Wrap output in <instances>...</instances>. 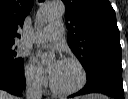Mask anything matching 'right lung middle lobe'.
Listing matches in <instances>:
<instances>
[{"instance_id":"right-lung-middle-lobe-1","label":"right lung middle lobe","mask_w":128,"mask_h":99,"mask_svg":"<svg viewBox=\"0 0 128 99\" xmlns=\"http://www.w3.org/2000/svg\"><path fill=\"white\" fill-rule=\"evenodd\" d=\"M24 66L22 58H18L13 43H0V70L11 73L20 71Z\"/></svg>"}]
</instances>
